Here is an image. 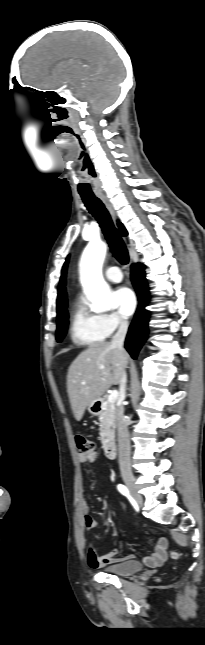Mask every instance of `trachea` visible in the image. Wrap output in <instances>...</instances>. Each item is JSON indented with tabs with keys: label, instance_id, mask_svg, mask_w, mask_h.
Instances as JSON below:
<instances>
[{
	"label": "trachea",
	"instance_id": "trachea-1",
	"mask_svg": "<svg viewBox=\"0 0 205 645\" xmlns=\"http://www.w3.org/2000/svg\"><path fill=\"white\" fill-rule=\"evenodd\" d=\"M82 200L88 211L98 221L111 249L113 256L123 265L128 264V250L118 234L109 212L102 201L95 196H82Z\"/></svg>",
	"mask_w": 205,
	"mask_h": 645
}]
</instances>
